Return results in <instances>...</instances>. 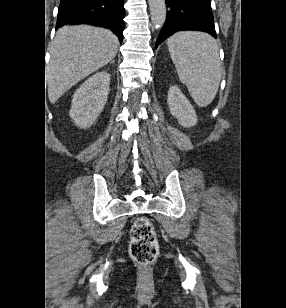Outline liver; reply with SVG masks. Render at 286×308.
<instances>
[{
    "mask_svg": "<svg viewBox=\"0 0 286 308\" xmlns=\"http://www.w3.org/2000/svg\"><path fill=\"white\" fill-rule=\"evenodd\" d=\"M118 46V38L107 29L89 25L58 29L47 68L49 101L54 104L79 81L109 63Z\"/></svg>",
    "mask_w": 286,
    "mask_h": 308,
    "instance_id": "6515ba94",
    "label": "liver"
}]
</instances>
